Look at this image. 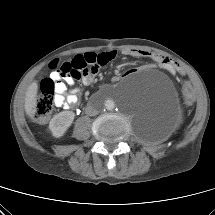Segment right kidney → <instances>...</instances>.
<instances>
[{
    "label": "right kidney",
    "instance_id": "right-kidney-1",
    "mask_svg": "<svg viewBox=\"0 0 215 215\" xmlns=\"http://www.w3.org/2000/svg\"><path fill=\"white\" fill-rule=\"evenodd\" d=\"M75 114L72 111H62L55 115L50 123L49 130L55 138L62 137L71 126Z\"/></svg>",
    "mask_w": 215,
    "mask_h": 215
}]
</instances>
